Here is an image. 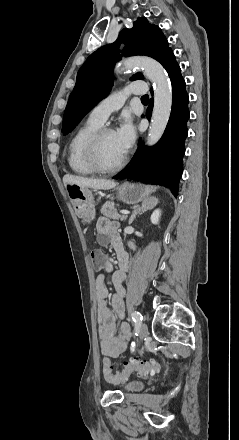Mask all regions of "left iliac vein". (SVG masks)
<instances>
[{"label": "left iliac vein", "instance_id": "left-iliac-vein-1", "mask_svg": "<svg viewBox=\"0 0 239 440\" xmlns=\"http://www.w3.org/2000/svg\"><path fill=\"white\" fill-rule=\"evenodd\" d=\"M139 335H140L141 339L147 337V335H148V327H147V325L145 323H142L140 325Z\"/></svg>", "mask_w": 239, "mask_h": 440}]
</instances>
